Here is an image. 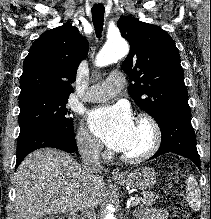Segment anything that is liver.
<instances>
[{
    "instance_id": "1",
    "label": "liver",
    "mask_w": 211,
    "mask_h": 219,
    "mask_svg": "<svg viewBox=\"0 0 211 219\" xmlns=\"http://www.w3.org/2000/svg\"><path fill=\"white\" fill-rule=\"evenodd\" d=\"M96 172L89 177L72 156L56 149L29 154L15 173L11 219H39L48 214L73 215L85 203L97 207L105 183Z\"/></svg>"
}]
</instances>
